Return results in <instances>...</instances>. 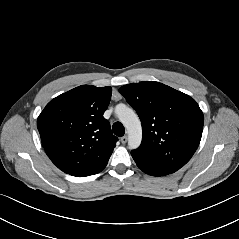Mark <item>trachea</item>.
I'll return each instance as SVG.
<instances>
[{"mask_svg":"<svg viewBox=\"0 0 239 239\" xmlns=\"http://www.w3.org/2000/svg\"><path fill=\"white\" fill-rule=\"evenodd\" d=\"M112 129L116 136L121 137L125 134V128L120 122H115Z\"/></svg>","mask_w":239,"mask_h":239,"instance_id":"trachea-1","label":"trachea"}]
</instances>
